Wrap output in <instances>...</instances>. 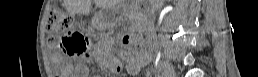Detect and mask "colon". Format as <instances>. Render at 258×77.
I'll use <instances>...</instances> for the list:
<instances>
[{
  "instance_id": "obj_1",
  "label": "colon",
  "mask_w": 258,
  "mask_h": 77,
  "mask_svg": "<svg viewBox=\"0 0 258 77\" xmlns=\"http://www.w3.org/2000/svg\"><path fill=\"white\" fill-rule=\"evenodd\" d=\"M47 31L59 37V43L64 52L82 53L88 48L87 36L73 29V21L69 16L59 11H51L46 23ZM147 50L145 40H138L133 45V53H142Z\"/></svg>"
}]
</instances>
